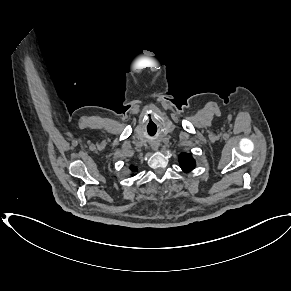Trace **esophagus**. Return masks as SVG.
<instances>
[{"label": "esophagus", "mask_w": 291, "mask_h": 291, "mask_svg": "<svg viewBox=\"0 0 291 291\" xmlns=\"http://www.w3.org/2000/svg\"><path fill=\"white\" fill-rule=\"evenodd\" d=\"M153 148L156 150V148H157V147H156V146H154Z\"/></svg>", "instance_id": "obj_1"}]
</instances>
